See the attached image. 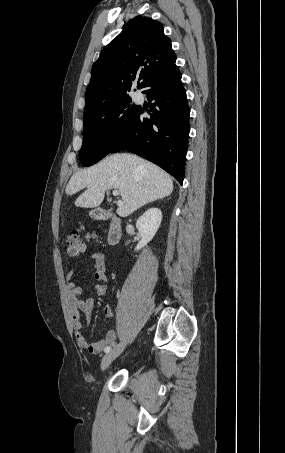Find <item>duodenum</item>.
Segmentation results:
<instances>
[{
  "mask_svg": "<svg viewBox=\"0 0 285 453\" xmlns=\"http://www.w3.org/2000/svg\"><path fill=\"white\" fill-rule=\"evenodd\" d=\"M98 215L99 218L109 221V226L106 235L107 243L111 246L116 245L119 242L122 235V229L119 218L104 211H100Z\"/></svg>",
  "mask_w": 285,
  "mask_h": 453,
  "instance_id": "410a0bca",
  "label": "duodenum"
}]
</instances>
